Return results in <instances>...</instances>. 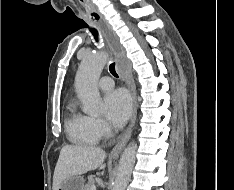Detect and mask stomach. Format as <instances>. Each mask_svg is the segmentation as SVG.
Returning <instances> with one entry per match:
<instances>
[{
    "label": "stomach",
    "mask_w": 234,
    "mask_h": 190,
    "mask_svg": "<svg viewBox=\"0 0 234 190\" xmlns=\"http://www.w3.org/2000/svg\"><path fill=\"white\" fill-rule=\"evenodd\" d=\"M84 178L80 175H73L66 178L58 190H84Z\"/></svg>",
    "instance_id": "1"
}]
</instances>
